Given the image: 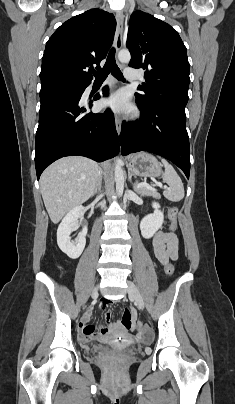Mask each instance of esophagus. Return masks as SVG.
I'll use <instances>...</instances> for the list:
<instances>
[{"instance_id": "obj_1", "label": "esophagus", "mask_w": 235, "mask_h": 404, "mask_svg": "<svg viewBox=\"0 0 235 404\" xmlns=\"http://www.w3.org/2000/svg\"><path fill=\"white\" fill-rule=\"evenodd\" d=\"M116 21H117V34H116V40H115V49L116 52H119L121 47H122V41H123V23H124V16L121 11L116 12ZM115 125H116V130L118 135L121 133V119L116 116L115 117Z\"/></svg>"}]
</instances>
